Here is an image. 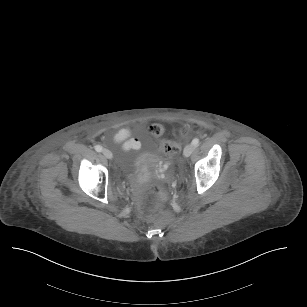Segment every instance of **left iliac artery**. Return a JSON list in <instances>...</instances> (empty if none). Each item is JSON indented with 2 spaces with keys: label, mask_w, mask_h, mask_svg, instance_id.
<instances>
[{
  "label": "left iliac artery",
  "mask_w": 307,
  "mask_h": 307,
  "mask_svg": "<svg viewBox=\"0 0 307 307\" xmlns=\"http://www.w3.org/2000/svg\"><path fill=\"white\" fill-rule=\"evenodd\" d=\"M199 143H200V140L198 138L193 139L192 142H191V144L193 146H197V145H199Z\"/></svg>",
  "instance_id": "44dca946"
}]
</instances>
